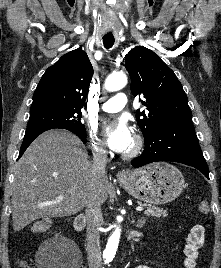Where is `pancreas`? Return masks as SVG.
<instances>
[{"label": "pancreas", "mask_w": 221, "mask_h": 268, "mask_svg": "<svg viewBox=\"0 0 221 268\" xmlns=\"http://www.w3.org/2000/svg\"><path fill=\"white\" fill-rule=\"evenodd\" d=\"M143 206L147 208V210L144 212L145 215L155 217H161V216L166 217L168 215L167 210H164L162 208L146 204H144Z\"/></svg>", "instance_id": "1"}]
</instances>
